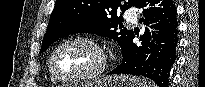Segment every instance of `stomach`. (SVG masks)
Wrapping results in <instances>:
<instances>
[{
  "label": "stomach",
  "instance_id": "stomach-1",
  "mask_svg": "<svg viewBox=\"0 0 205 87\" xmlns=\"http://www.w3.org/2000/svg\"><path fill=\"white\" fill-rule=\"evenodd\" d=\"M77 87H148V85L137 77L115 75L97 81L86 82Z\"/></svg>",
  "mask_w": 205,
  "mask_h": 87
}]
</instances>
